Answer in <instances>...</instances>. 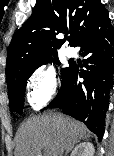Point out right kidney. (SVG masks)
Wrapping results in <instances>:
<instances>
[{
  "label": "right kidney",
  "mask_w": 114,
  "mask_h": 156,
  "mask_svg": "<svg viewBox=\"0 0 114 156\" xmlns=\"http://www.w3.org/2000/svg\"><path fill=\"white\" fill-rule=\"evenodd\" d=\"M95 152L94 146L90 142H83L77 145L70 156H93Z\"/></svg>",
  "instance_id": "ca27d5eb"
}]
</instances>
